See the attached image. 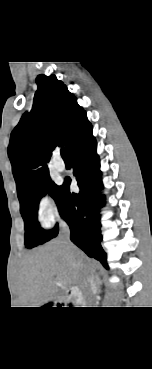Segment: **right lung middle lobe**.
Segmentation results:
<instances>
[{
  "label": "right lung middle lobe",
  "instance_id": "right-lung-middle-lobe-1",
  "mask_svg": "<svg viewBox=\"0 0 152 369\" xmlns=\"http://www.w3.org/2000/svg\"><path fill=\"white\" fill-rule=\"evenodd\" d=\"M61 186H57L47 175L29 188L20 198V212L25 223V246L33 248L55 237L58 226L50 231L43 230L37 220V211L40 198L47 193L58 201Z\"/></svg>",
  "mask_w": 152,
  "mask_h": 369
}]
</instances>
